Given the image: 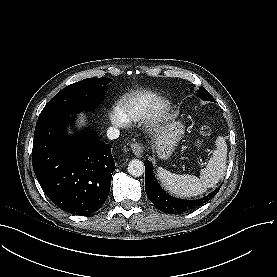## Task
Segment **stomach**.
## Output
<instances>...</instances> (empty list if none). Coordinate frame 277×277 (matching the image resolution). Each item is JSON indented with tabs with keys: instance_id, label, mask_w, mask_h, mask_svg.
Wrapping results in <instances>:
<instances>
[{
	"instance_id": "0dacf381",
	"label": "stomach",
	"mask_w": 277,
	"mask_h": 277,
	"mask_svg": "<svg viewBox=\"0 0 277 277\" xmlns=\"http://www.w3.org/2000/svg\"><path fill=\"white\" fill-rule=\"evenodd\" d=\"M184 134V126L179 121H169L164 124L154 137V151L161 160H167L172 155L175 146Z\"/></svg>"
}]
</instances>
